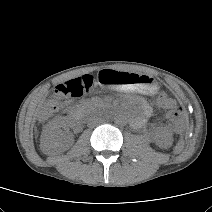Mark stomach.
Segmentation results:
<instances>
[{
  "instance_id": "1",
  "label": "stomach",
  "mask_w": 212,
  "mask_h": 212,
  "mask_svg": "<svg viewBox=\"0 0 212 212\" xmlns=\"http://www.w3.org/2000/svg\"><path fill=\"white\" fill-rule=\"evenodd\" d=\"M98 80L108 88H115L122 91L155 93L157 90L156 84L152 83V78L124 71L103 69L98 74Z\"/></svg>"
}]
</instances>
